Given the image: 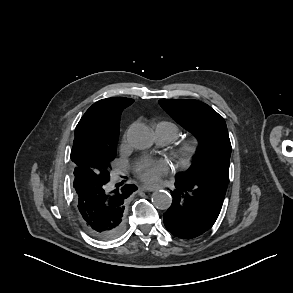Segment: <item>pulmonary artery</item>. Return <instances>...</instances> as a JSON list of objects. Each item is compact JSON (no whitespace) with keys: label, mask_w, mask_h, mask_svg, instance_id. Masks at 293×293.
Masks as SVG:
<instances>
[{"label":"pulmonary artery","mask_w":293,"mask_h":293,"mask_svg":"<svg viewBox=\"0 0 293 293\" xmlns=\"http://www.w3.org/2000/svg\"><path fill=\"white\" fill-rule=\"evenodd\" d=\"M157 142L159 145H168L173 142V137L166 132L161 126H156L155 129Z\"/></svg>","instance_id":"pulmonary-artery-1"}]
</instances>
